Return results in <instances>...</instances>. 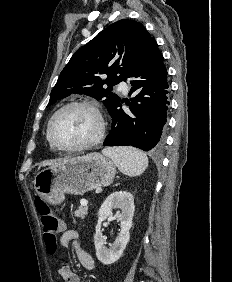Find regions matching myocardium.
Returning <instances> with one entry per match:
<instances>
[{"label":"myocardium","mask_w":232,"mask_h":282,"mask_svg":"<svg viewBox=\"0 0 232 282\" xmlns=\"http://www.w3.org/2000/svg\"><path fill=\"white\" fill-rule=\"evenodd\" d=\"M71 107H85V108H88L91 111H93L95 113L97 119H98V122H99V130H98L96 136L93 139H91V140H89L85 143L75 145V146H64V145L59 144L55 140V138L53 136V124H54V121L56 120V118L63 111H65L66 109L71 108ZM105 131H106V123H105L104 117H103L100 109L98 108V106L90 100H76V101H71V102H68V103L62 105L60 108H58L54 112V114L51 116V118L49 119L48 124H47V137H48L49 142L52 144V146L56 150L66 151V152L87 150V149H90V148L98 145L103 140L104 135H105Z\"/></svg>","instance_id":"myocardium-1"}]
</instances>
